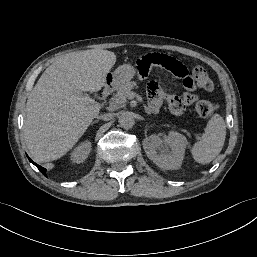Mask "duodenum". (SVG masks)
Segmentation results:
<instances>
[{"label": "duodenum", "instance_id": "1", "mask_svg": "<svg viewBox=\"0 0 257 257\" xmlns=\"http://www.w3.org/2000/svg\"><path fill=\"white\" fill-rule=\"evenodd\" d=\"M115 89H116V83L112 80L111 77H109L102 91L103 97L104 98L109 97L114 92Z\"/></svg>", "mask_w": 257, "mask_h": 257}]
</instances>
